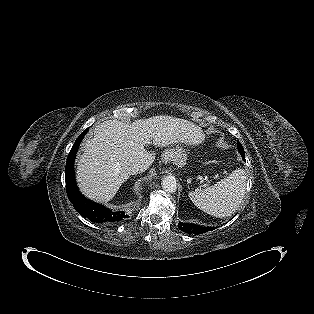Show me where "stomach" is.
I'll use <instances>...</instances> for the list:
<instances>
[{
    "label": "stomach",
    "mask_w": 314,
    "mask_h": 314,
    "mask_svg": "<svg viewBox=\"0 0 314 314\" xmlns=\"http://www.w3.org/2000/svg\"><path fill=\"white\" fill-rule=\"evenodd\" d=\"M165 161L173 162L179 167L186 164L187 151L179 144H172L163 155Z\"/></svg>",
    "instance_id": "0dacf381"
}]
</instances>
